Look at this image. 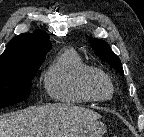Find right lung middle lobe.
<instances>
[{"mask_svg":"<svg viewBox=\"0 0 144 137\" xmlns=\"http://www.w3.org/2000/svg\"><path fill=\"white\" fill-rule=\"evenodd\" d=\"M42 61L0 66V108L25 100Z\"/></svg>","mask_w":144,"mask_h":137,"instance_id":"dd1d6c3e","label":"right lung middle lobe"}]
</instances>
